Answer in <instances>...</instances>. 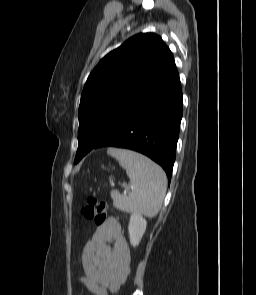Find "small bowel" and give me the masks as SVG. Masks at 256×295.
I'll list each match as a JSON object with an SVG mask.
<instances>
[{"instance_id":"obj_1","label":"small bowel","mask_w":256,"mask_h":295,"mask_svg":"<svg viewBox=\"0 0 256 295\" xmlns=\"http://www.w3.org/2000/svg\"><path fill=\"white\" fill-rule=\"evenodd\" d=\"M84 275L78 280L94 295L119 290L130 273V251L120 222L110 217L85 240L81 252Z\"/></svg>"}]
</instances>
